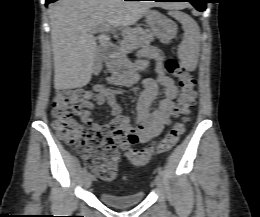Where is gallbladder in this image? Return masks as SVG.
Returning a JSON list of instances; mask_svg holds the SVG:
<instances>
[{"mask_svg": "<svg viewBox=\"0 0 260 217\" xmlns=\"http://www.w3.org/2000/svg\"><path fill=\"white\" fill-rule=\"evenodd\" d=\"M102 70V53L97 51L93 64V74L98 75Z\"/></svg>", "mask_w": 260, "mask_h": 217, "instance_id": "bac80fb5", "label": "gallbladder"}]
</instances>
